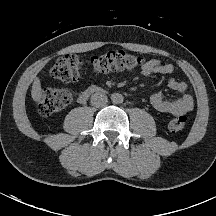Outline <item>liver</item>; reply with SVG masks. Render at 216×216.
I'll return each mask as SVG.
<instances>
[{
	"label": "liver",
	"instance_id": "obj_1",
	"mask_svg": "<svg viewBox=\"0 0 216 216\" xmlns=\"http://www.w3.org/2000/svg\"><path fill=\"white\" fill-rule=\"evenodd\" d=\"M41 94H42L41 82L40 79L36 77L32 85V91H31L32 99L35 102H38L41 99Z\"/></svg>",
	"mask_w": 216,
	"mask_h": 216
}]
</instances>
